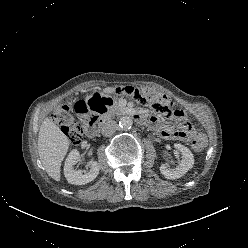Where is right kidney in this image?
<instances>
[{
    "mask_svg": "<svg viewBox=\"0 0 248 248\" xmlns=\"http://www.w3.org/2000/svg\"><path fill=\"white\" fill-rule=\"evenodd\" d=\"M80 157L79 151L72 150L66 158L64 165V175L68 183L74 185H85L93 181L99 174L100 166L96 161L91 162V169L88 173L83 174L81 170H75L76 165Z\"/></svg>",
    "mask_w": 248,
    "mask_h": 248,
    "instance_id": "obj_1",
    "label": "right kidney"
}]
</instances>
